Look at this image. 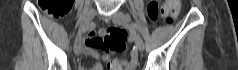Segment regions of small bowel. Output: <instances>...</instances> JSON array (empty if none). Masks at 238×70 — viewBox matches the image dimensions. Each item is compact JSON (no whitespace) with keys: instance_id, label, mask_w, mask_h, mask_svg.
Listing matches in <instances>:
<instances>
[{"instance_id":"small-bowel-1","label":"small bowel","mask_w":238,"mask_h":70,"mask_svg":"<svg viewBox=\"0 0 238 70\" xmlns=\"http://www.w3.org/2000/svg\"><path fill=\"white\" fill-rule=\"evenodd\" d=\"M97 48H103L107 51L108 50L114 51V50L106 48L103 45L101 39L95 38V37L88 38L85 42L84 51L87 55H90V56L94 57L95 59H97V61L92 65L91 68H86V67L82 66L81 70H103L102 60H104L105 57L100 55Z\"/></svg>"}]
</instances>
